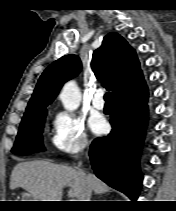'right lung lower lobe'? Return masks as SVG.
<instances>
[{"label": "right lung lower lobe", "mask_w": 176, "mask_h": 211, "mask_svg": "<svg viewBox=\"0 0 176 211\" xmlns=\"http://www.w3.org/2000/svg\"><path fill=\"white\" fill-rule=\"evenodd\" d=\"M148 89L142 85L133 94L114 100L107 137L95 139L89 151L98 178L136 201L143 175L139 154L148 114Z\"/></svg>", "instance_id": "right-lung-lower-lobe-1"}]
</instances>
